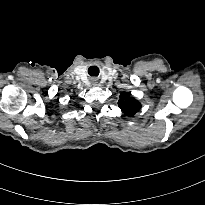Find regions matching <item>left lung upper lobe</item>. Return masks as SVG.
Here are the masks:
<instances>
[{
    "mask_svg": "<svg viewBox=\"0 0 205 205\" xmlns=\"http://www.w3.org/2000/svg\"><path fill=\"white\" fill-rule=\"evenodd\" d=\"M118 106L127 116L135 115L141 108V104L126 92L121 93Z\"/></svg>",
    "mask_w": 205,
    "mask_h": 205,
    "instance_id": "1",
    "label": "left lung upper lobe"
}]
</instances>
